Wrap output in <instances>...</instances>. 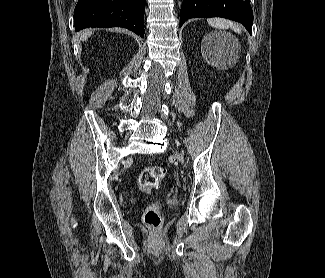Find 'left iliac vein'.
Here are the masks:
<instances>
[{"label":"left iliac vein","instance_id":"obj_1","mask_svg":"<svg viewBox=\"0 0 325 278\" xmlns=\"http://www.w3.org/2000/svg\"><path fill=\"white\" fill-rule=\"evenodd\" d=\"M176 156L178 157V159L183 163V156L182 155H180V154H176Z\"/></svg>","mask_w":325,"mask_h":278}]
</instances>
